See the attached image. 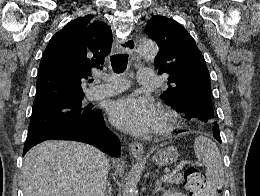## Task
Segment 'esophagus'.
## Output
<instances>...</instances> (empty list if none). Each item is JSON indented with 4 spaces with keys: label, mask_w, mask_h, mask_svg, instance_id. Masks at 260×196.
Masks as SVG:
<instances>
[{
    "label": "esophagus",
    "mask_w": 260,
    "mask_h": 196,
    "mask_svg": "<svg viewBox=\"0 0 260 196\" xmlns=\"http://www.w3.org/2000/svg\"><path fill=\"white\" fill-rule=\"evenodd\" d=\"M118 49L123 53H132L136 50V42L131 37L126 38L120 41ZM128 149L130 154H132L135 158H142L144 153V146L139 141H133L132 143H130Z\"/></svg>",
    "instance_id": "34e87169"
}]
</instances>
